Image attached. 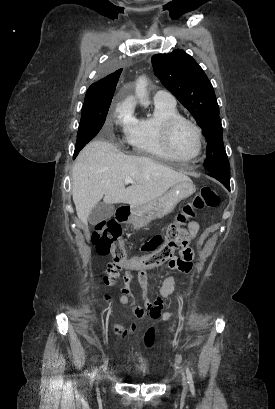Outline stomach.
I'll return each mask as SVG.
<instances>
[{
  "label": "stomach",
  "instance_id": "1",
  "mask_svg": "<svg viewBox=\"0 0 275 409\" xmlns=\"http://www.w3.org/2000/svg\"><path fill=\"white\" fill-rule=\"evenodd\" d=\"M195 190V184H193L190 178L188 180H180V182L173 184L170 190H167L162 196L145 202V205L132 207L128 223L142 225V223H150L154 219H161L164 215L172 213L178 202L183 200V198L191 196Z\"/></svg>",
  "mask_w": 275,
  "mask_h": 409
}]
</instances>
